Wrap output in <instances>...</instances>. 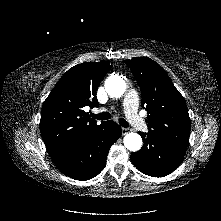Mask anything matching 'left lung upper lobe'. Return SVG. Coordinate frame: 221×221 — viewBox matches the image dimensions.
I'll list each match as a JSON object with an SVG mask.
<instances>
[{"label":"left lung upper lobe","mask_w":221,"mask_h":221,"mask_svg":"<svg viewBox=\"0 0 221 221\" xmlns=\"http://www.w3.org/2000/svg\"><path fill=\"white\" fill-rule=\"evenodd\" d=\"M141 89V106L148 112L149 134L187 145L190 118L183 96L165 70L148 57L125 60Z\"/></svg>","instance_id":"obj_1"}]
</instances>
